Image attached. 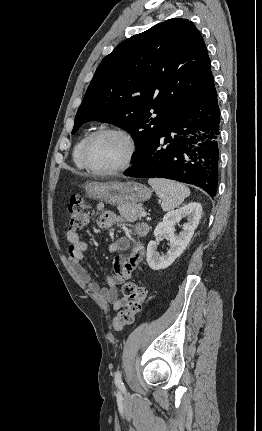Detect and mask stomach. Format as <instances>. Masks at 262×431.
I'll use <instances>...</instances> for the list:
<instances>
[{
  "instance_id": "1",
  "label": "stomach",
  "mask_w": 262,
  "mask_h": 431,
  "mask_svg": "<svg viewBox=\"0 0 262 431\" xmlns=\"http://www.w3.org/2000/svg\"><path fill=\"white\" fill-rule=\"evenodd\" d=\"M88 196L111 205H137L151 197V190L138 182L109 181L88 182L85 186Z\"/></svg>"
}]
</instances>
